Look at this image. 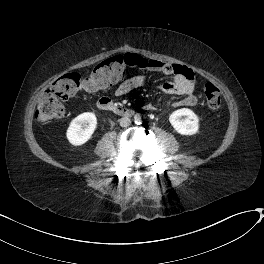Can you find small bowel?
<instances>
[{
    "mask_svg": "<svg viewBox=\"0 0 264 264\" xmlns=\"http://www.w3.org/2000/svg\"><path fill=\"white\" fill-rule=\"evenodd\" d=\"M136 60V67L150 72L163 73L171 76V80L158 84V88L168 95H183L184 98L174 102L175 107L195 106L199 99L200 93L197 91L195 78L192 71L184 64L169 63L150 58L133 55ZM147 83L144 76L136 75L126 78L117 88L115 94L124 96L133 90H136ZM148 111H154L155 105L148 103L144 106Z\"/></svg>",
    "mask_w": 264,
    "mask_h": 264,
    "instance_id": "1",
    "label": "small bowel"
}]
</instances>
